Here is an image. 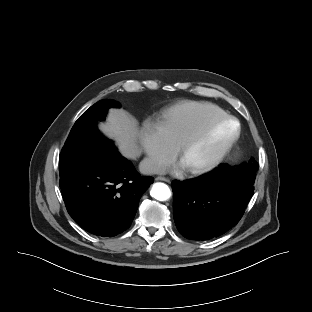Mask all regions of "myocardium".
<instances>
[{"mask_svg": "<svg viewBox=\"0 0 312 312\" xmlns=\"http://www.w3.org/2000/svg\"><path fill=\"white\" fill-rule=\"evenodd\" d=\"M224 123H233L235 126L234 132L226 140V142L205 162L189 168V171L194 174L207 172L217 166L224 157L230 152L235 143L238 141L241 134V125L239 121L233 117L226 115L209 122L205 127L197 131L192 136L188 137L179 145V156L182 157L191 147L207 137L216 127Z\"/></svg>", "mask_w": 312, "mask_h": 312, "instance_id": "obj_1", "label": "myocardium"}]
</instances>
